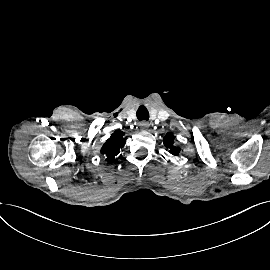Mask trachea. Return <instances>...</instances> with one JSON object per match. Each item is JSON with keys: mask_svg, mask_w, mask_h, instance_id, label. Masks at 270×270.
Masks as SVG:
<instances>
[{"mask_svg": "<svg viewBox=\"0 0 270 270\" xmlns=\"http://www.w3.org/2000/svg\"><path fill=\"white\" fill-rule=\"evenodd\" d=\"M136 115H137V118H138L139 121H142V120L148 121V119H149V112L146 109V107L143 106V105H141L138 108Z\"/></svg>", "mask_w": 270, "mask_h": 270, "instance_id": "trachea-1", "label": "trachea"}]
</instances>
